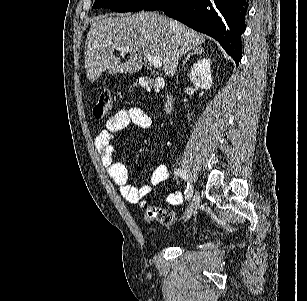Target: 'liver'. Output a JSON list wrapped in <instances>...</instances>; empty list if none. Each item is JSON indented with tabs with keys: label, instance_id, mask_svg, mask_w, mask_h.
<instances>
[{
	"label": "liver",
	"instance_id": "liver-1",
	"mask_svg": "<svg viewBox=\"0 0 307 301\" xmlns=\"http://www.w3.org/2000/svg\"><path fill=\"white\" fill-rule=\"evenodd\" d=\"M205 40L206 34L159 12L143 10L124 16L101 14L92 20L85 40L86 76L95 82L105 70L108 74L138 72L146 54H159L165 74L173 76L182 54L197 48ZM119 46L133 48L125 62L114 54V48Z\"/></svg>",
	"mask_w": 307,
	"mask_h": 301
}]
</instances>
